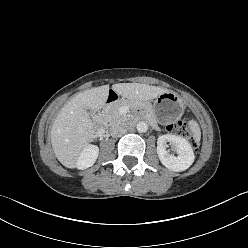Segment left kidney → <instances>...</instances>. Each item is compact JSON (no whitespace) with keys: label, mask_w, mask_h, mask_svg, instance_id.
I'll use <instances>...</instances> for the list:
<instances>
[{"label":"left kidney","mask_w":248,"mask_h":248,"mask_svg":"<svg viewBox=\"0 0 248 248\" xmlns=\"http://www.w3.org/2000/svg\"><path fill=\"white\" fill-rule=\"evenodd\" d=\"M168 142L177 156L170 154L167 150ZM157 154L166 168L176 172L188 169L195 159L190 143L186 139L172 134L159 136L157 139Z\"/></svg>","instance_id":"obj_1"}]
</instances>
